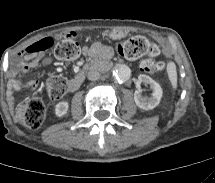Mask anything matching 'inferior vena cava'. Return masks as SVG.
<instances>
[{"mask_svg":"<svg viewBox=\"0 0 215 183\" xmlns=\"http://www.w3.org/2000/svg\"><path fill=\"white\" fill-rule=\"evenodd\" d=\"M87 78L91 81H96L100 78V73L96 70H90L87 73Z\"/></svg>","mask_w":215,"mask_h":183,"instance_id":"inferior-vena-cava-1","label":"inferior vena cava"}]
</instances>
